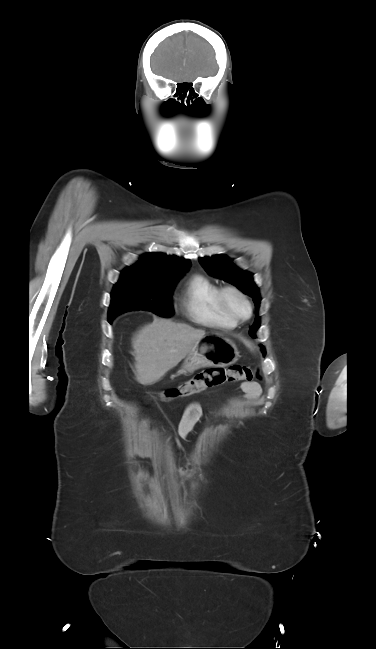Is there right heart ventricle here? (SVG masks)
Segmentation results:
<instances>
[{
    "instance_id": "1",
    "label": "right heart ventricle",
    "mask_w": 376,
    "mask_h": 649,
    "mask_svg": "<svg viewBox=\"0 0 376 649\" xmlns=\"http://www.w3.org/2000/svg\"><path fill=\"white\" fill-rule=\"evenodd\" d=\"M220 286L203 274H193L183 284L179 301L181 310L194 322L222 329H232L237 322L219 302Z\"/></svg>"
}]
</instances>
